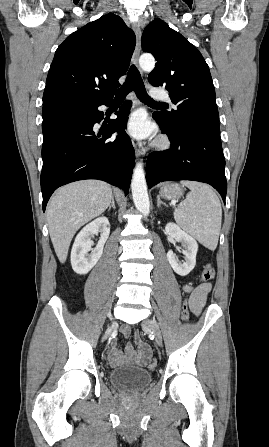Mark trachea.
<instances>
[{
  "mask_svg": "<svg viewBox=\"0 0 269 447\" xmlns=\"http://www.w3.org/2000/svg\"><path fill=\"white\" fill-rule=\"evenodd\" d=\"M132 90H134L139 100L143 103L148 105H167L161 102H155L148 96L141 75L134 65L130 67L126 81L122 87L115 92V100H124L126 95Z\"/></svg>",
  "mask_w": 269,
  "mask_h": 447,
  "instance_id": "obj_1",
  "label": "trachea"
}]
</instances>
